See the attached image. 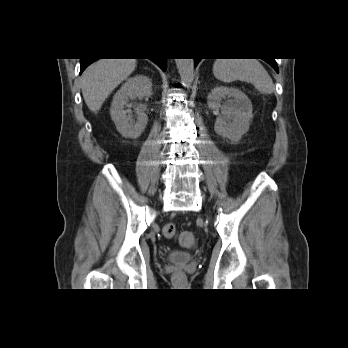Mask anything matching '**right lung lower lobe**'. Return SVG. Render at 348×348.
<instances>
[{
  "instance_id": "obj_1",
  "label": "right lung lower lobe",
  "mask_w": 348,
  "mask_h": 348,
  "mask_svg": "<svg viewBox=\"0 0 348 348\" xmlns=\"http://www.w3.org/2000/svg\"><path fill=\"white\" fill-rule=\"evenodd\" d=\"M97 59H90V58H85L80 60L81 64V70L80 74L85 70V68L90 65L92 62H94ZM154 63H156L162 70L165 71L166 69V59L165 58H158V59H151Z\"/></svg>"
}]
</instances>
